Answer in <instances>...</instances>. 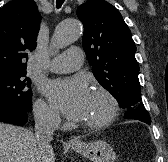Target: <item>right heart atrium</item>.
Masks as SVG:
<instances>
[{
    "instance_id": "1",
    "label": "right heart atrium",
    "mask_w": 168,
    "mask_h": 162,
    "mask_svg": "<svg viewBox=\"0 0 168 162\" xmlns=\"http://www.w3.org/2000/svg\"><path fill=\"white\" fill-rule=\"evenodd\" d=\"M34 115L38 123L46 127H57L60 117L55 109L42 99L35 102Z\"/></svg>"
}]
</instances>
